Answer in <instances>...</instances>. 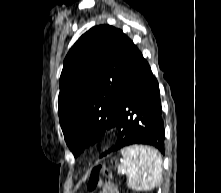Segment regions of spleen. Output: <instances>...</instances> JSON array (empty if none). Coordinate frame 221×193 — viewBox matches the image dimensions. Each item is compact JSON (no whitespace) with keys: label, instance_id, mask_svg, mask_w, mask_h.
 I'll use <instances>...</instances> for the list:
<instances>
[{"label":"spleen","instance_id":"1","mask_svg":"<svg viewBox=\"0 0 221 193\" xmlns=\"http://www.w3.org/2000/svg\"><path fill=\"white\" fill-rule=\"evenodd\" d=\"M121 172L127 185L136 191L154 189L162 177V158L157 150L146 146H124Z\"/></svg>","mask_w":221,"mask_h":193}]
</instances>
